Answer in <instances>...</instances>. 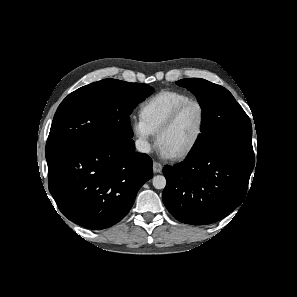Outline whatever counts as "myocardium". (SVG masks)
Instances as JSON below:
<instances>
[{
	"instance_id": "f54148a6",
	"label": "myocardium",
	"mask_w": 297,
	"mask_h": 297,
	"mask_svg": "<svg viewBox=\"0 0 297 297\" xmlns=\"http://www.w3.org/2000/svg\"><path fill=\"white\" fill-rule=\"evenodd\" d=\"M190 104H195L198 106L199 110H200V125H199V129L197 131V134L195 136V138L193 139V141L190 143V145L188 147H186L184 150L176 153V154H172L170 155L173 159H182L187 157L189 154H191L194 149L197 147V145L199 144L203 133L205 131L206 128V122H207V115H206V110L203 106V104L195 98H190L182 103H180L173 111L172 113L169 115V117L165 120V122L160 126V128L158 129L157 133H156V141L157 144L159 145L161 137L169 130L173 127V125L176 123V121L178 120L180 114L182 113V111Z\"/></svg>"
}]
</instances>
